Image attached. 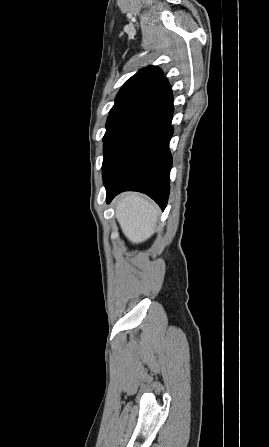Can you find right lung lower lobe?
Listing matches in <instances>:
<instances>
[{"label": "right lung lower lobe", "mask_w": 269, "mask_h": 447, "mask_svg": "<svg viewBox=\"0 0 269 447\" xmlns=\"http://www.w3.org/2000/svg\"><path fill=\"white\" fill-rule=\"evenodd\" d=\"M172 117L169 89L119 122L104 145L102 173L107 203L118 193L133 190L149 195L165 209L172 167Z\"/></svg>", "instance_id": "98d812e1"}]
</instances>
